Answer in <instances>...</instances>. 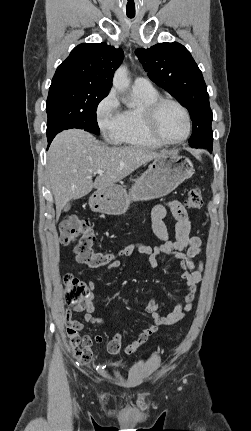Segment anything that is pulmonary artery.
<instances>
[{"instance_id":"obj_1","label":"pulmonary artery","mask_w":251,"mask_h":431,"mask_svg":"<svg viewBox=\"0 0 251 431\" xmlns=\"http://www.w3.org/2000/svg\"><path fill=\"white\" fill-rule=\"evenodd\" d=\"M132 87L134 90L139 91H150L154 89L152 83L144 77H136L133 81Z\"/></svg>"}]
</instances>
